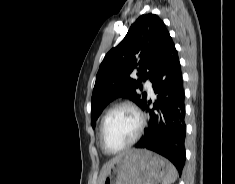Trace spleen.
<instances>
[{"mask_svg":"<svg viewBox=\"0 0 235 184\" xmlns=\"http://www.w3.org/2000/svg\"><path fill=\"white\" fill-rule=\"evenodd\" d=\"M177 178H178V172L175 166H173L171 162H168L166 166V174L162 180V184H174Z\"/></svg>","mask_w":235,"mask_h":184,"instance_id":"spleen-1","label":"spleen"}]
</instances>
